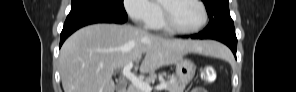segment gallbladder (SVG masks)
Wrapping results in <instances>:
<instances>
[{"label": "gallbladder", "mask_w": 296, "mask_h": 92, "mask_svg": "<svg viewBox=\"0 0 296 92\" xmlns=\"http://www.w3.org/2000/svg\"><path fill=\"white\" fill-rule=\"evenodd\" d=\"M122 88H123V85H122V84H117V85H116V89H117V90H120V89H122Z\"/></svg>", "instance_id": "obj_1"}]
</instances>
